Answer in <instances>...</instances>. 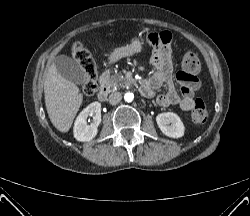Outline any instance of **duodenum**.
Wrapping results in <instances>:
<instances>
[{
  "instance_id": "duodenum-1",
  "label": "duodenum",
  "mask_w": 250,
  "mask_h": 216,
  "mask_svg": "<svg viewBox=\"0 0 250 216\" xmlns=\"http://www.w3.org/2000/svg\"><path fill=\"white\" fill-rule=\"evenodd\" d=\"M141 91L144 95H146L148 93V89L144 83H142V85H141ZM109 92H110L109 87L106 84L104 76H103L101 79L100 89L98 92V99L100 101H105L109 95Z\"/></svg>"
}]
</instances>
